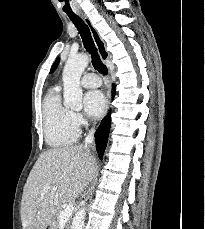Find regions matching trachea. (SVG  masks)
<instances>
[{
    "label": "trachea",
    "instance_id": "obj_1",
    "mask_svg": "<svg viewBox=\"0 0 205 229\" xmlns=\"http://www.w3.org/2000/svg\"><path fill=\"white\" fill-rule=\"evenodd\" d=\"M68 17L77 28L82 38L86 51L91 54L93 67L103 75H107V67L103 64V62L100 59V56L97 52V48L95 47L94 41L92 39L89 27L84 23V21L80 17L76 15L68 14Z\"/></svg>",
    "mask_w": 205,
    "mask_h": 229
}]
</instances>
